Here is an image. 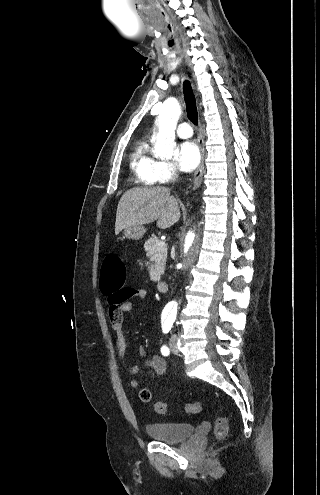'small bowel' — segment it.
<instances>
[{
  "instance_id": "1",
  "label": "small bowel",
  "mask_w": 320,
  "mask_h": 495,
  "mask_svg": "<svg viewBox=\"0 0 320 495\" xmlns=\"http://www.w3.org/2000/svg\"><path fill=\"white\" fill-rule=\"evenodd\" d=\"M121 291L126 294V299L122 302L117 301L118 292L106 294L109 321L116 333V345L119 357L123 365L127 367L128 373L130 375H136L139 372V367L136 365L127 366V342L123 332L124 314L131 311L136 303L142 302L146 298L147 291L144 288L133 286H123ZM139 356L145 361V366L151 368L157 375H162L166 371L167 364L165 359L158 355L148 359L147 350L143 345L139 346ZM138 385L139 383L137 380L133 379L130 381V386L132 388H137Z\"/></svg>"
}]
</instances>
